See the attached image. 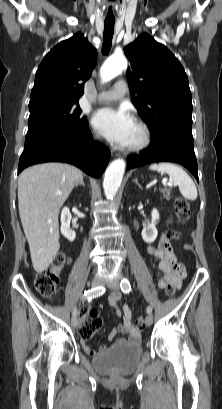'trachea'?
I'll list each match as a JSON object with an SVG mask.
<instances>
[{"instance_id":"3493384b","label":"trachea","mask_w":222,"mask_h":409,"mask_svg":"<svg viewBox=\"0 0 222 409\" xmlns=\"http://www.w3.org/2000/svg\"><path fill=\"white\" fill-rule=\"evenodd\" d=\"M114 24L115 20L108 21L105 20L104 23V34H103V45H102V54L107 55L111 49L112 38L114 34Z\"/></svg>"}]
</instances>
